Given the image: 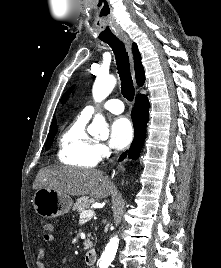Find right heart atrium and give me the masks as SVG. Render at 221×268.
<instances>
[{"mask_svg": "<svg viewBox=\"0 0 221 268\" xmlns=\"http://www.w3.org/2000/svg\"><path fill=\"white\" fill-rule=\"evenodd\" d=\"M97 151H98L99 158H104L108 155V149L103 144L97 145Z\"/></svg>", "mask_w": 221, "mask_h": 268, "instance_id": "right-heart-atrium-1", "label": "right heart atrium"}]
</instances>
